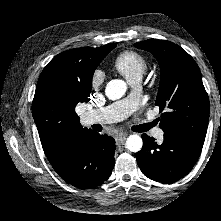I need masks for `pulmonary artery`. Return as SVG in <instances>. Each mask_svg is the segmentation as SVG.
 Returning <instances> with one entry per match:
<instances>
[{
	"label": "pulmonary artery",
	"mask_w": 221,
	"mask_h": 221,
	"mask_svg": "<svg viewBox=\"0 0 221 221\" xmlns=\"http://www.w3.org/2000/svg\"><path fill=\"white\" fill-rule=\"evenodd\" d=\"M140 80H134L131 82V85L134 88H137ZM136 103V93L130 94L126 98L117 101L111 105L106 107H102L99 109H94L88 112H85L82 115V122L84 125L91 124H106L115 121L122 120L129 115H131L134 111ZM149 124L140 121V127L148 130ZM152 136L154 138L160 139L163 137V130L161 128H157L153 131Z\"/></svg>",
	"instance_id": "e3ab8cb5"
}]
</instances>
